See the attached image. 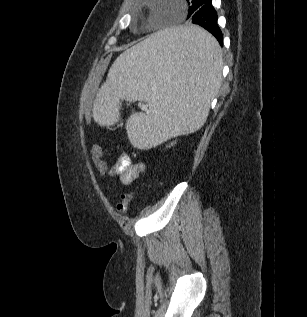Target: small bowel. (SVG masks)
I'll return each mask as SVG.
<instances>
[{
	"label": "small bowel",
	"mask_w": 307,
	"mask_h": 317,
	"mask_svg": "<svg viewBox=\"0 0 307 317\" xmlns=\"http://www.w3.org/2000/svg\"><path fill=\"white\" fill-rule=\"evenodd\" d=\"M144 169L142 163H133L127 154H121L110 168L109 174L117 177L121 184L130 185L141 176Z\"/></svg>",
	"instance_id": "obj_1"
}]
</instances>
